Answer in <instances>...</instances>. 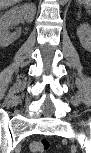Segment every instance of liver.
<instances>
[{
  "instance_id": "1",
  "label": "liver",
  "mask_w": 91,
  "mask_h": 153,
  "mask_svg": "<svg viewBox=\"0 0 91 153\" xmlns=\"http://www.w3.org/2000/svg\"><path fill=\"white\" fill-rule=\"evenodd\" d=\"M19 1L20 0H1L0 4H1V7L2 6H10V5H13Z\"/></svg>"
}]
</instances>
